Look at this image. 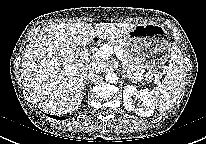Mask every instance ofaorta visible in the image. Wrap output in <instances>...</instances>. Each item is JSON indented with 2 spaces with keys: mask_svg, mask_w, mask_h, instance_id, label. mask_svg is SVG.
Masks as SVG:
<instances>
[{
  "mask_svg": "<svg viewBox=\"0 0 206 144\" xmlns=\"http://www.w3.org/2000/svg\"><path fill=\"white\" fill-rule=\"evenodd\" d=\"M105 79L109 83H116L118 81V76L116 73L109 71L106 73Z\"/></svg>",
  "mask_w": 206,
  "mask_h": 144,
  "instance_id": "1",
  "label": "aorta"
}]
</instances>
